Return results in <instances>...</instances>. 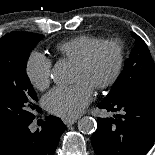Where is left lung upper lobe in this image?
Returning a JSON list of instances; mask_svg holds the SVG:
<instances>
[{"instance_id":"5c2ea615","label":"left lung upper lobe","mask_w":155,"mask_h":155,"mask_svg":"<svg viewBox=\"0 0 155 155\" xmlns=\"http://www.w3.org/2000/svg\"><path fill=\"white\" fill-rule=\"evenodd\" d=\"M135 46L111 92L105 100H113L136 89L155 84V65L145 42L134 32Z\"/></svg>"}]
</instances>
